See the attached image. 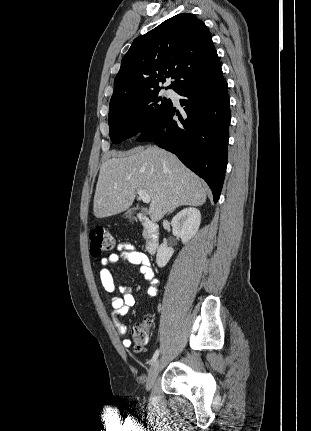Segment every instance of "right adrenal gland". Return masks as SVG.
<instances>
[{"label": "right adrenal gland", "instance_id": "2a0ac1e0", "mask_svg": "<svg viewBox=\"0 0 311 431\" xmlns=\"http://www.w3.org/2000/svg\"><path fill=\"white\" fill-rule=\"evenodd\" d=\"M172 212H174V210H172ZM172 212H168V214H172Z\"/></svg>", "mask_w": 311, "mask_h": 431}]
</instances>
